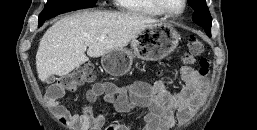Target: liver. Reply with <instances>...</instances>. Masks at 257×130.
<instances>
[{
	"instance_id": "liver-1",
	"label": "liver",
	"mask_w": 257,
	"mask_h": 130,
	"mask_svg": "<svg viewBox=\"0 0 257 130\" xmlns=\"http://www.w3.org/2000/svg\"><path fill=\"white\" fill-rule=\"evenodd\" d=\"M159 23L150 17L100 11H83L62 18L40 40L36 54L38 78L44 82L52 75H67L89 57L123 49L140 32Z\"/></svg>"
}]
</instances>
